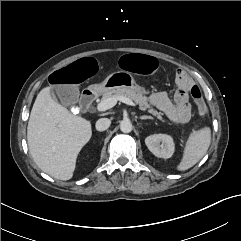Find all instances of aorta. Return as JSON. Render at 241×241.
<instances>
[{
  "label": "aorta",
  "instance_id": "aorta-1",
  "mask_svg": "<svg viewBox=\"0 0 241 241\" xmlns=\"http://www.w3.org/2000/svg\"><path fill=\"white\" fill-rule=\"evenodd\" d=\"M133 129V125L130 120H122L120 123V130L123 133H130Z\"/></svg>",
  "mask_w": 241,
  "mask_h": 241
}]
</instances>
